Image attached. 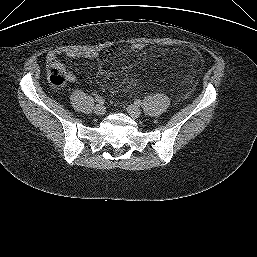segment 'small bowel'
Returning a JSON list of instances; mask_svg holds the SVG:
<instances>
[{
    "mask_svg": "<svg viewBox=\"0 0 257 257\" xmlns=\"http://www.w3.org/2000/svg\"><path fill=\"white\" fill-rule=\"evenodd\" d=\"M58 54H63L69 58H88L95 59L98 56V53L93 50L79 51V50H50L46 55V61L49 64L56 62V58ZM69 80H74V76L69 74Z\"/></svg>",
    "mask_w": 257,
    "mask_h": 257,
    "instance_id": "c3829d8e",
    "label": "small bowel"
}]
</instances>
